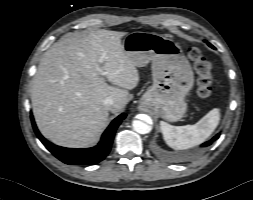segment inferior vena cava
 Segmentation results:
<instances>
[{
    "label": "inferior vena cava",
    "instance_id": "inferior-vena-cava-1",
    "mask_svg": "<svg viewBox=\"0 0 253 200\" xmlns=\"http://www.w3.org/2000/svg\"><path fill=\"white\" fill-rule=\"evenodd\" d=\"M103 105L104 107L107 109V110H111V108L113 107L114 105V100L110 97H107L104 99L103 101Z\"/></svg>",
    "mask_w": 253,
    "mask_h": 200
}]
</instances>
